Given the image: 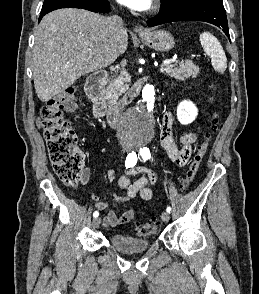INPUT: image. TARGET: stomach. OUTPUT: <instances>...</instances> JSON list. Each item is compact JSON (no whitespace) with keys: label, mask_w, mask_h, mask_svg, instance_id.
<instances>
[{"label":"stomach","mask_w":259,"mask_h":294,"mask_svg":"<svg viewBox=\"0 0 259 294\" xmlns=\"http://www.w3.org/2000/svg\"><path fill=\"white\" fill-rule=\"evenodd\" d=\"M139 37L146 45L158 52H168L175 46L174 37L165 30L146 31L139 34Z\"/></svg>","instance_id":"obj_1"}]
</instances>
